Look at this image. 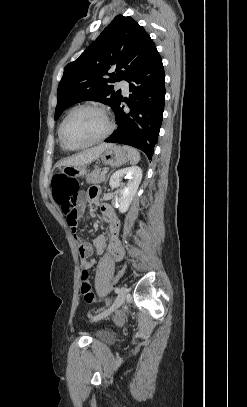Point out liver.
Returning a JSON list of instances; mask_svg holds the SVG:
<instances>
[{"label":"liver","mask_w":247,"mask_h":407,"mask_svg":"<svg viewBox=\"0 0 247 407\" xmlns=\"http://www.w3.org/2000/svg\"><path fill=\"white\" fill-rule=\"evenodd\" d=\"M109 145L110 144L102 143L96 147L84 150L69 158L64 159L58 165L59 166H78V165L89 164V163L93 162L94 160H96Z\"/></svg>","instance_id":"1"}]
</instances>
